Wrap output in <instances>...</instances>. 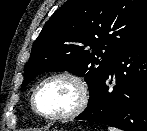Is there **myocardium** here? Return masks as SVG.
Here are the masks:
<instances>
[{"label":"myocardium","instance_id":"f54148a6","mask_svg":"<svg viewBox=\"0 0 147 131\" xmlns=\"http://www.w3.org/2000/svg\"><path fill=\"white\" fill-rule=\"evenodd\" d=\"M57 78H64V79H68L72 81L78 88L79 100L75 108L68 113L61 114V115H47L41 112L37 106V103H36L37 93L39 89L46 82L53 79H57ZM89 101H90V90H89L87 82L81 75L71 71H60V72H55L46 76L45 78H43L41 81L37 83V85L35 86L31 94V107L33 111L39 117L47 121H65V120L75 118L87 108Z\"/></svg>","mask_w":147,"mask_h":131}]
</instances>
